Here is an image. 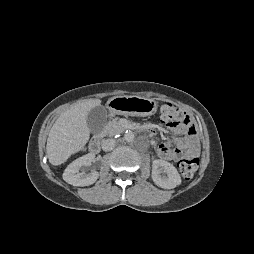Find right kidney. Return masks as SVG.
I'll return each mask as SVG.
<instances>
[{
    "label": "right kidney",
    "mask_w": 254,
    "mask_h": 254,
    "mask_svg": "<svg viewBox=\"0 0 254 254\" xmlns=\"http://www.w3.org/2000/svg\"><path fill=\"white\" fill-rule=\"evenodd\" d=\"M94 159L95 155L89 153L73 161L63 173L64 181L73 186H88L93 184L98 179L99 173L92 171L89 174H85L82 168L90 165Z\"/></svg>",
    "instance_id": "ca27d5eb"
}]
</instances>
